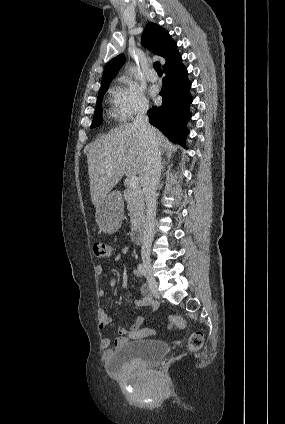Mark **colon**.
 <instances>
[{"instance_id": "obj_1", "label": "colon", "mask_w": 285, "mask_h": 424, "mask_svg": "<svg viewBox=\"0 0 285 424\" xmlns=\"http://www.w3.org/2000/svg\"><path fill=\"white\" fill-rule=\"evenodd\" d=\"M92 251L95 257L99 259H108L113 255V248L106 242L95 241L92 245ZM185 323L182 317L179 315H170L168 317L167 326L171 330H179L184 327ZM152 329H144L141 333V337L147 338L154 334ZM203 345V335L200 332L193 333L189 338V348L191 350H198Z\"/></svg>"}]
</instances>
